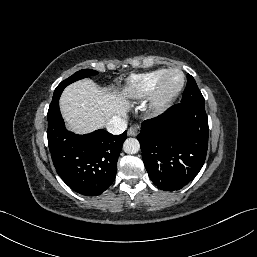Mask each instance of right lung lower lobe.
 <instances>
[{"instance_id":"98d812e1","label":"right lung lower lobe","mask_w":257,"mask_h":257,"mask_svg":"<svg viewBox=\"0 0 257 257\" xmlns=\"http://www.w3.org/2000/svg\"><path fill=\"white\" fill-rule=\"evenodd\" d=\"M47 117L48 145L58 175L79 194L100 195L115 179L126 131L118 136L103 129L86 135L69 132L60 113L59 99L51 102Z\"/></svg>"}]
</instances>
